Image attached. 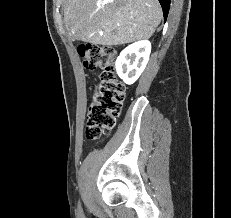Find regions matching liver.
<instances>
[{
    "label": "liver",
    "instance_id": "obj_1",
    "mask_svg": "<svg viewBox=\"0 0 231 218\" xmlns=\"http://www.w3.org/2000/svg\"><path fill=\"white\" fill-rule=\"evenodd\" d=\"M162 19L158 0H66L64 22L71 38L115 46L148 39Z\"/></svg>",
    "mask_w": 231,
    "mask_h": 218
}]
</instances>
